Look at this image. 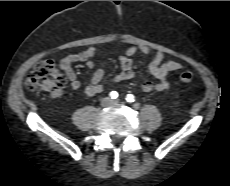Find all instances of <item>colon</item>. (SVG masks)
Returning a JSON list of instances; mask_svg holds the SVG:
<instances>
[{
    "instance_id": "colon-1",
    "label": "colon",
    "mask_w": 230,
    "mask_h": 186,
    "mask_svg": "<svg viewBox=\"0 0 230 186\" xmlns=\"http://www.w3.org/2000/svg\"><path fill=\"white\" fill-rule=\"evenodd\" d=\"M178 79L188 83L194 79V74L190 71H182L178 74ZM65 84V76L50 59L39 61L26 78V86L30 91L46 92L51 95L60 93Z\"/></svg>"
}]
</instances>
